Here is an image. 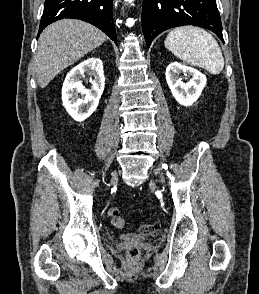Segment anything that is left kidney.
Instances as JSON below:
<instances>
[{"label":"left kidney","mask_w":259,"mask_h":294,"mask_svg":"<svg viewBox=\"0 0 259 294\" xmlns=\"http://www.w3.org/2000/svg\"><path fill=\"white\" fill-rule=\"evenodd\" d=\"M191 76L192 78L184 83L180 74ZM166 81L175 100L183 106H191L197 101L206 85V77L198 70L172 62L166 68Z\"/></svg>","instance_id":"obj_1"}]
</instances>
